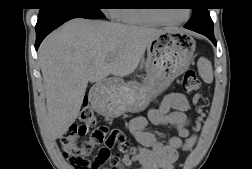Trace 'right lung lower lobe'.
I'll return each mask as SVG.
<instances>
[{
    "mask_svg": "<svg viewBox=\"0 0 252 169\" xmlns=\"http://www.w3.org/2000/svg\"><path fill=\"white\" fill-rule=\"evenodd\" d=\"M87 18V19H96L94 17L80 14V13H66V14H59V15H54L49 18H46L41 21H37L36 24V45L35 48L36 50L38 49L41 41L45 38L46 35H48L51 31L56 29L57 27L61 26L63 23L66 21L73 19V18Z\"/></svg>",
    "mask_w": 252,
    "mask_h": 169,
    "instance_id": "98d812e1",
    "label": "right lung lower lobe"
}]
</instances>
